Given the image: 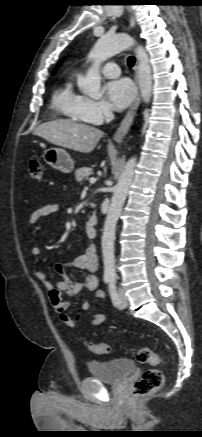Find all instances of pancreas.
Returning a JSON list of instances; mask_svg holds the SVG:
<instances>
[{"label":"pancreas","instance_id":"1","mask_svg":"<svg viewBox=\"0 0 202 437\" xmlns=\"http://www.w3.org/2000/svg\"><path fill=\"white\" fill-rule=\"evenodd\" d=\"M91 174H93V170L89 167L79 168L75 171V177L77 182L87 180Z\"/></svg>","mask_w":202,"mask_h":437}]
</instances>
